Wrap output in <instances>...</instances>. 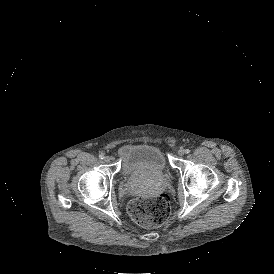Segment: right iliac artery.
<instances>
[{
	"label": "right iliac artery",
	"mask_w": 274,
	"mask_h": 274,
	"mask_svg": "<svg viewBox=\"0 0 274 274\" xmlns=\"http://www.w3.org/2000/svg\"><path fill=\"white\" fill-rule=\"evenodd\" d=\"M104 158V155L103 154H100L99 155V159H103Z\"/></svg>",
	"instance_id": "1"
}]
</instances>
